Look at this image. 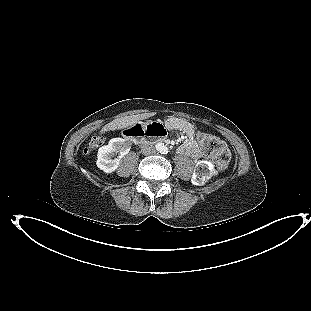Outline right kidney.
Wrapping results in <instances>:
<instances>
[{"label": "right kidney", "instance_id": "obj_1", "mask_svg": "<svg viewBox=\"0 0 311 311\" xmlns=\"http://www.w3.org/2000/svg\"><path fill=\"white\" fill-rule=\"evenodd\" d=\"M130 148V144L123 138L117 137L111 139L108 145L98 149L97 167L105 173L114 172L120 164V158L128 154ZM117 153H120L119 158L112 159Z\"/></svg>", "mask_w": 311, "mask_h": 311}]
</instances>
